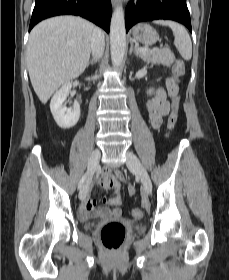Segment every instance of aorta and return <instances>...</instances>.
<instances>
[{
	"instance_id": "762f6f07",
	"label": "aorta",
	"mask_w": 229,
	"mask_h": 280,
	"mask_svg": "<svg viewBox=\"0 0 229 280\" xmlns=\"http://www.w3.org/2000/svg\"><path fill=\"white\" fill-rule=\"evenodd\" d=\"M110 47L112 64L115 67H119L123 61L126 50L124 11L120 6L114 10L111 18Z\"/></svg>"
}]
</instances>
